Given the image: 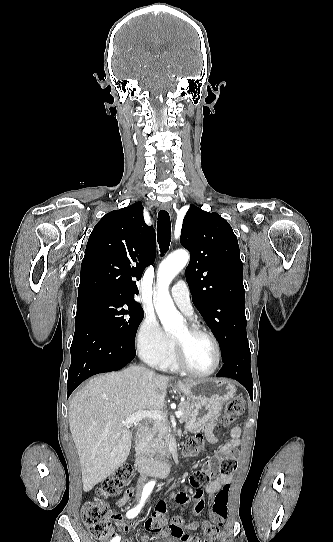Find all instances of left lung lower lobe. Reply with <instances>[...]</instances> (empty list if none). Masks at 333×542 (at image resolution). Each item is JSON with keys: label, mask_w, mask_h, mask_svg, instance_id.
Returning a JSON list of instances; mask_svg holds the SVG:
<instances>
[{"label": "left lung lower lobe", "mask_w": 333, "mask_h": 542, "mask_svg": "<svg viewBox=\"0 0 333 542\" xmlns=\"http://www.w3.org/2000/svg\"><path fill=\"white\" fill-rule=\"evenodd\" d=\"M251 353L248 342L236 346L229 357L223 362V366L217 377H228L240 382L253 398V379L250 367Z\"/></svg>", "instance_id": "obj_1"}]
</instances>
